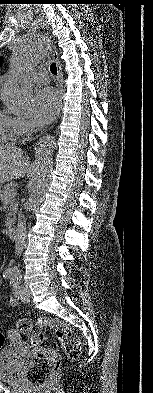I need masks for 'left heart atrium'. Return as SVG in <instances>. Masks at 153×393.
Listing matches in <instances>:
<instances>
[{
	"label": "left heart atrium",
	"instance_id": "obj_1",
	"mask_svg": "<svg viewBox=\"0 0 153 393\" xmlns=\"http://www.w3.org/2000/svg\"><path fill=\"white\" fill-rule=\"evenodd\" d=\"M60 107L58 92L50 87L40 90L34 100L33 118L39 126L51 122Z\"/></svg>",
	"mask_w": 153,
	"mask_h": 393
}]
</instances>
